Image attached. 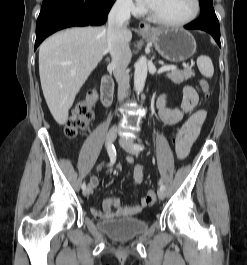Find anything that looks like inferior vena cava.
Instances as JSON below:
<instances>
[{
	"mask_svg": "<svg viewBox=\"0 0 247 265\" xmlns=\"http://www.w3.org/2000/svg\"><path fill=\"white\" fill-rule=\"evenodd\" d=\"M132 0H117L108 15L107 50L112 57L111 67L118 83V100L122 101L129 89L127 66L131 60V50L126 38Z\"/></svg>",
	"mask_w": 247,
	"mask_h": 265,
	"instance_id": "inferior-vena-cava-1",
	"label": "inferior vena cava"
}]
</instances>
